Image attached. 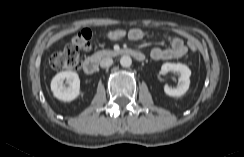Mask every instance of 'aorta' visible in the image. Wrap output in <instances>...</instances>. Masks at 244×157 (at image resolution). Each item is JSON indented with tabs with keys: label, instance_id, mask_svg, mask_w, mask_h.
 Wrapping results in <instances>:
<instances>
[{
	"label": "aorta",
	"instance_id": "aorta-1",
	"mask_svg": "<svg viewBox=\"0 0 244 157\" xmlns=\"http://www.w3.org/2000/svg\"><path fill=\"white\" fill-rule=\"evenodd\" d=\"M120 64H121V66H123V67H130L131 64H132V59H131V57L128 56V55H124V56H122L121 59H120Z\"/></svg>",
	"mask_w": 244,
	"mask_h": 157
}]
</instances>
